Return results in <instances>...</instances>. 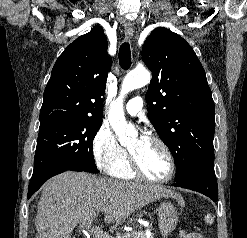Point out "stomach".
Listing matches in <instances>:
<instances>
[{
	"instance_id": "stomach-1",
	"label": "stomach",
	"mask_w": 247,
	"mask_h": 238,
	"mask_svg": "<svg viewBox=\"0 0 247 238\" xmlns=\"http://www.w3.org/2000/svg\"><path fill=\"white\" fill-rule=\"evenodd\" d=\"M178 216L171 202L162 201L158 209V224L161 235L166 238L176 227Z\"/></svg>"
}]
</instances>
